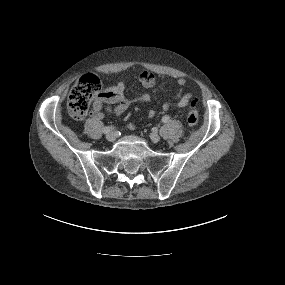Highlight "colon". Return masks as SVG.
Here are the masks:
<instances>
[{
	"mask_svg": "<svg viewBox=\"0 0 285 285\" xmlns=\"http://www.w3.org/2000/svg\"><path fill=\"white\" fill-rule=\"evenodd\" d=\"M101 82L97 76L86 74L82 76L72 87L68 99L67 110L69 115L76 120L84 119L95 100L101 96ZM199 118L197 101H190L187 113V127H194Z\"/></svg>",
	"mask_w": 285,
	"mask_h": 285,
	"instance_id": "1",
	"label": "colon"
}]
</instances>
